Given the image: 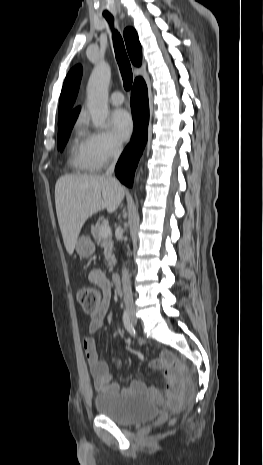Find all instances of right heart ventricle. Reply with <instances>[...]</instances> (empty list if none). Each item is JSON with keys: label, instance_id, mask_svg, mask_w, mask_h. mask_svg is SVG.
<instances>
[{"label": "right heart ventricle", "instance_id": "e07e8e85", "mask_svg": "<svg viewBox=\"0 0 263 465\" xmlns=\"http://www.w3.org/2000/svg\"><path fill=\"white\" fill-rule=\"evenodd\" d=\"M70 164L80 171H94L97 168L88 154L87 138L82 130L77 127L70 143Z\"/></svg>", "mask_w": 263, "mask_h": 465}]
</instances>
